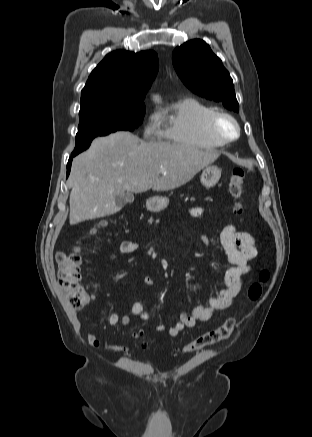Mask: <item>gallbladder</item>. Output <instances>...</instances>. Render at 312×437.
<instances>
[{"label":"gallbladder","mask_w":312,"mask_h":437,"mask_svg":"<svg viewBox=\"0 0 312 437\" xmlns=\"http://www.w3.org/2000/svg\"><path fill=\"white\" fill-rule=\"evenodd\" d=\"M134 197L132 194H128L127 198L124 197H117L116 199V209L113 211V213L117 212L118 210H120L127 202L131 203L133 202Z\"/></svg>","instance_id":"1"}]
</instances>
